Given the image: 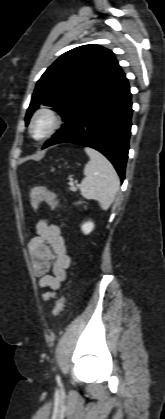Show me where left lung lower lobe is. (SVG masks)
<instances>
[{
	"instance_id": "0a47b994",
	"label": "left lung lower lobe",
	"mask_w": 165,
	"mask_h": 419,
	"mask_svg": "<svg viewBox=\"0 0 165 419\" xmlns=\"http://www.w3.org/2000/svg\"><path fill=\"white\" fill-rule=\"evenodd\" d=\"M132 102L128 80L122 72L88 99L43 146L74 143L94 148L114 165L124 180L131 130Z\"/></svg>"
}]
</instances>
